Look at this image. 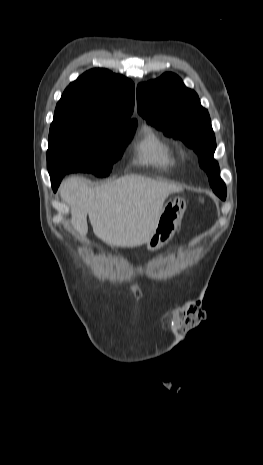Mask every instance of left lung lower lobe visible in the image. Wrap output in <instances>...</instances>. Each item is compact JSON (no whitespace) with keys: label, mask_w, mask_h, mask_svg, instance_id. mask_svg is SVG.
Segmentation results:
<instances>
[{"label":"left lung lower lobe","mask_w":263,"mask_h":465,"mask_svg":"<svg viewBox=\"0 0 263 465\" xmlns=\"http://www.w3.org/2000/svg\"><path fill=\"white\" fill-rule=\"evenodd\" d=\"M200 165L207 172L209 177H214L220 174L219 166L212 158L200 160Z\"/></svg>","instance_id":"obj_1"}]
</instances>
